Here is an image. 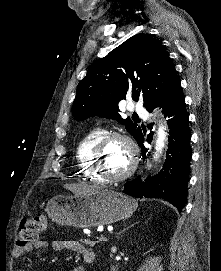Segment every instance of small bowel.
I'll list each match as a JSON object with an SVG mask.
<instances>
[{"label":"small bowel","instance_id":"1","mask_svg":"<svg viewBox=\"0 0 221 271\" xmlns=\"http://www.w3.org/2000/svg\"><path fill=\"white\" fill-rule=\"evenodd\" d=\"M50 248L53 252H61V251H73L75 253L81 254L84 257L93 256L94 253L89 251L84 245L79 243L78 241L71 239H54L50 244L43 239L36 238L32 243L24 246V247H16L13 250L14 258H18L25 253H31L33 249H48ZM72 271H84L82 266H76L72 269Z\"/></svg>","mask_w":221,"mask_h":271}]
</instances>
